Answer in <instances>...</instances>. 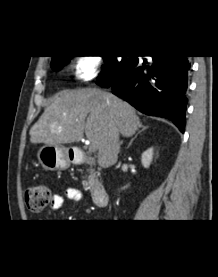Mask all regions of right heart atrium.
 <instances>
[{"mask_svg": "<svg viewBox=\"0 0 218 277\" xmlns=\"http://www.w3.org/2000/svg\"><path fill=\"white\" fill-rule=\"evenodd\" d=\"M101 60L93 55L77 57L73 65V79L77 83H86L97 76L101 68Z\"/></svg>", "mask_w": 218, "mask_h": 277, "instance_id": "obj_1", "label": "right heart atrium"}]
</instances>
